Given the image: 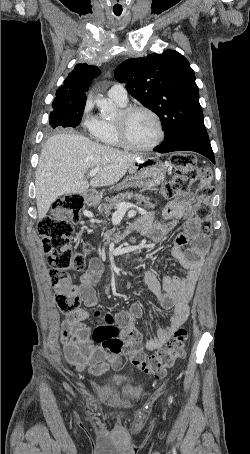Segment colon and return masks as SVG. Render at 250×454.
I'll list each match as a JSON object with an SVG mask.
<instances>
[{
    "label": "colon",
    "instance_id": "5ec220e1",
    "mask_svg": "<svg viewBox=\"0 0 250 454\" xmlns=\"http://www.w3.org/2000/svg\"><path fill=\"white\" fill-rule=\"evenodd\" d=\"M171 162L176 174L162 185L161 196L165 199L178 198L188 192L192 183L198 181L193 217L198 222L199 230L206 236L210 235L212 220L209 200L214 193L212 170L198 166L196 157L191 154H174ZM83 206L82 195H66L55 202L51 213L43 218L38 226L43 250L47 255L49 276L55 290V302L58 308L67 314L80 308L81 300L72 273L85 269L86 252L90 250L87 245L85 252H79L71 245L74 226L79 222ZM94 315L103 320V323L94 329L93 340L113 354L128 355L134 366L155 378L164 376L185 354L188 332L184 327L175 331L173 338L164 348L146 357L141 349L140 333L130 315L123 314L116 320L110 314H102L99 310H95Z\"/></svg>",
    "mask_w": 250,
    "mask_h": 454
}]
</instances>
